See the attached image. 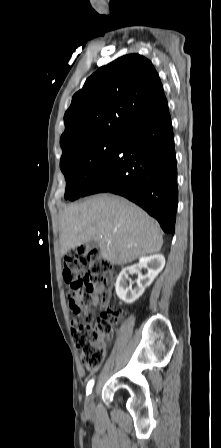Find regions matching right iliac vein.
Returning a JSON list of instances; mask_svg holds the SVG:
<instances>
[{"mask_svg": "<svg viewBox=\"0 0 221 448\" xmlns=\"http://www.w3.org/2000/svg\"><path fill=\"white\" fill-rule=\"evenodd\" d=\"M93 393H91L86 399V411L90 412L93 406Z\"/></svg>", "mask_w": 221, "mask_h": 448, "instance_id": "obj_1", "label": "right iliac vein"}]
</instances>
